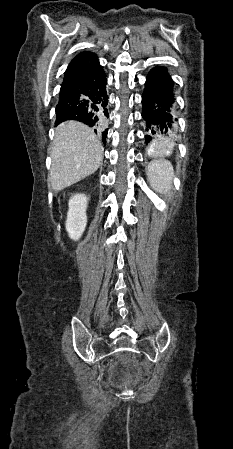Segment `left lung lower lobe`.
<instances>
[{
	"label": "left lung lower lobe",
	"mask_w": 233,
	"mask_h": 449,
	"mask_svg": "<svg viewBox=\"0 0 233 449\" xmlns=\"http://www.w3.org/2000/svg\"><path fill=\"white\" fill-rule=\"evenodd\" d=\"M173 85L171 76L163 66H155L147 75L142 94V118L146 122V142L165 143L167 141L157 135L166 134L174 128L172 116Z\"/></svg>",
	"instance_id": "obj_1"
}]
</instances>
